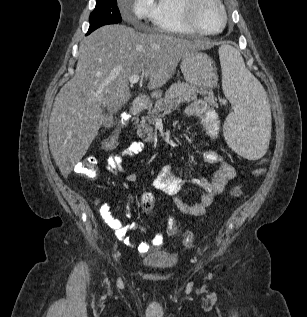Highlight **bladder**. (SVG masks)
<instances>
[{
  "instance_id": "1",
  "label": "bladder",
  "mask_w": 307,
  "mask_h": 317,
  "mask_svg": "<svg viewBox=\"0 0 307 317\" xmlns=\"http://www.w3.org/2000/svg\"><path fill=\"white\" fill-rule=\"evenodd\" d=\"M144 265L153 270L163 271L175 266L177 258L174 255L146 256L142 259Z\"/></svg>"
}]
</instances>
